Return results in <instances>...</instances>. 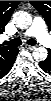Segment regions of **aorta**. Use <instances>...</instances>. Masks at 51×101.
<instances>
[{"label": "aorta", "mask_w": 51, "mask_h": 101, "mask_svg": "<svg viewBox=\"0 0 51 101\" xmlns=\"http://www.w3.org/2000/svg\"><path fill=\"white\" fill-rule=\"evenodd\" d=\"M13 22L20 29H25L30 26L32 18L30 14L23 11H18L13 15ZM33 55L38 60H43L47 56V51L43 47L35 48Z\"/></svg>", "instance_id": "1"}]
</instances>
